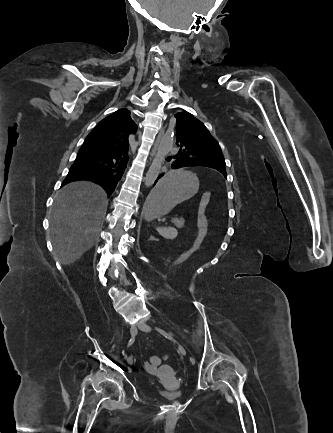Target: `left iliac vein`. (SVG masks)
<instances>
[{"label":"left iliac vein","instance_id":"1","mask_svg":"<svg viewBox=\"0 0 333 433\" xmlns=\"http://www.w3.org/2000/svg\"><path fill=\"white\" fill-rule=\"evenodd\" d=\"M138 328H139L140 330L144 331V332H149V331H151V327H150L149 325H147L146 323H139V324H138ZM178 352H179L181 355H183V356L186 355V350H185L184 347L181 346V345L178 346Z\"/></svg>","mask_w":333,"mask_h":433}]
</instances>
